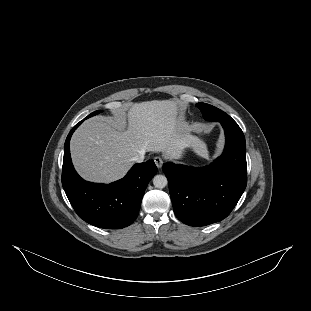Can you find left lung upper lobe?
I'll list each match as a JSON object with an SVG mask.
<instances>
[{
    "mask_svg": "<svg viewBox=\"0 0 311 311\" xmlns=\"http://www.w3.org/2000/svg\"><path fill=\"white\" fill-rule=\"evenodd\" d=\"M196 106L202 112L204 119L208 121L220 122L221 120L230 117L220 109L206 103H198Z\"/></svg>",
    "mask_w": 311,
    "mask_h": 311,
    "instance_id": "left-lung-upper-lobe-1",
    "label": "left lung upper lobe"
}]
</instances>
